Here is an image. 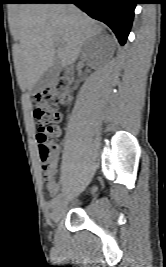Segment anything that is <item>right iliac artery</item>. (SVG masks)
<instances>
[{"instance_id":"right-iliac-artery-1","label":"right iliac artery","mask_w":166,"mask_h":267,"mask_svg":"<svg viewBox=\"0 0 166 267\" xmlns=\"http://www.w3.org/2000/svg\"><path fill=\"white\" fill-rule=\"evenodd\" d=\"M60 199H61V194L57 195V196L51 201V206H52V208H55V207L59 204Z\"/></svg>"}]
</instances>
